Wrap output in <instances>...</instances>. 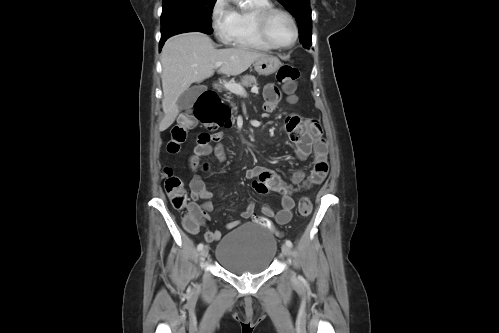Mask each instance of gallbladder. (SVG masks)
Returning <instances> with one entry per match:
<instances>
[{
    "instance_id": "gallbladder-1",
    "label": "gallbladder",
    "mask_w": 499,
    "mask_h": 333,
    "mask_svg": "<svg viewBox=\"0 0 499 333\" xmlns=\"http://www.w3.org/2000/svg\"><path fill=\"white\" fill-rule=\"evenodd\" d=\"M206 90L205 86H193L183 92L177 100V105L181 109H190L196 99Z\"/></svg>"
}]
</instances>
